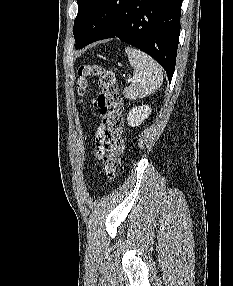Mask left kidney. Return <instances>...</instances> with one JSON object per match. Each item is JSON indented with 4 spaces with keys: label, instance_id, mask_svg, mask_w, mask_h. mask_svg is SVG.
<instances>
[{
    "label": "left kidney",
    "instance_id": "obj_1",
    "mask_svg": "<svg viewBox=\"0 0 233 286\" xmlns=\"http://www.w3.org/2000/svg\"><path fill=\"white\" fill-rule=\"evenodd\" d=\"M151 114V108L147 105L135 106L127 116L128 124L131 127L139 126Z\"/></svg>",
    "mask_w": 233,
    "mask_h": 286
}]
</instances>
